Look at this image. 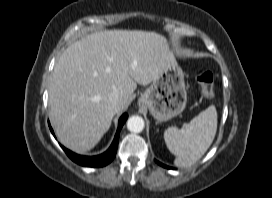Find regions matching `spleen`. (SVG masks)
<instances>
[{"instance_id": "1", "label": "spleen", "mask_w": 272, "mask_h": 198, "mask_svg": "<svg viewBox=\"0 0 272 198\" xmlns=\"http://www.w3.org/2000/svg\"><path fill=\"white\" fill-rule=\"evenodd\" d=\"M217 131V111L209 106L194 117L184 129L168 127L164 140L169 151L176 156L177 167H188L196 163L212 144Z\"/></svg>"}]
</instances>
